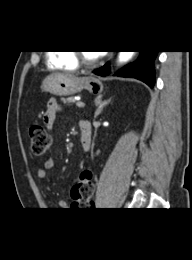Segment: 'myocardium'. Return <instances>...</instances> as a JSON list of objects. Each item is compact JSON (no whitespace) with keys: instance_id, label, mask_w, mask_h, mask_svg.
Segmentation results:
<instances>
[{"instance_id":"obj_1","label":"myocardium","mask_w":192,"mask_h":260,"mask_svg":"<svg viewBox=\"0 0 192 260\" xmlns=\"http://www.w3.org/2000/svg\"><path fill=\"white\" fill-rule=\"evenodd\" d=\"M74 57L76 58L77 62L86 66V67H92L97 65L100 60L101 57L98 55L93 59H89L88 57L85 56L84 52L76 50L73 52Z\"/></svg>"}]
</instances>
